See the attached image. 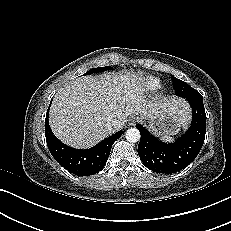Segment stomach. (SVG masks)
Here are the masks:
<instances>
[{
	"label": "stomach",
	"instance_id": "0dacf381",
	"mask_svg": "<svg viewBox=\"0 0 231 231\" xmlns=\"http://www.w3.org/2000/svg\"><path fill=\"white\" fill-rule=\"evenodd\" d=\"M149 120V127L156 135H173L180 129L177 114L172 110L161 111Z\"/></svg>",
	"mask_w": 231,
	"mask_h": 231
}]
</instances>
